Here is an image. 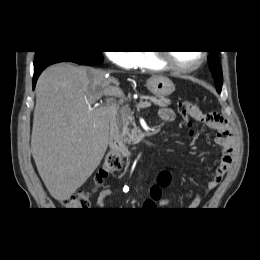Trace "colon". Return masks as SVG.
<instances>
[{"instance_id":"obj_1","label":"colon","mask_w":260,"mask_h":260,"mask_svg":"<svg viewBox=\"0 0 260 260\" xmlns=\"http://www.w3.org/2000/svg\"><path fill=\"white\" fill-rule=\"evenodd\" d=\"M179 112L185 121L194 118L201 112L196 103L192 101H182L179 103ZM123 168V161L120 156L113 152L106 155L103 167L98 172L96 179L98 183H102L109 174L119 172ZM171 180L170 173L163 171L158 175L157 185L150 190L152 200H158L161 196V188L169 185ZM63 205L70 210H85L90 207V197L87 193H77L66 197Z\"/></svg>"}]
</instances>
